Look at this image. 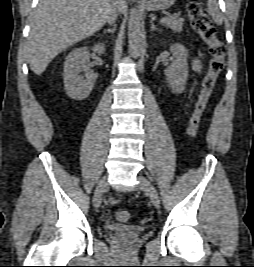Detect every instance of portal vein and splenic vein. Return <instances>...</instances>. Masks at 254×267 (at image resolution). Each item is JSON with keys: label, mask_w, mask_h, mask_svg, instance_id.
I'll list each match as a JSON object with an SVG mask.
<instances>
[{"label": "portal vein and splenic vein", "mask_w": 254, "mask_h": 267, "mask_svg": "<svg viewBox=\"0 0 254 267\" xmlns=\"http://www.w3.org/2000/svg\"><path fill=\"white\" fill-rule=\"evenodd\" d=\"M171 17H172L171 15L164 16V17H162L160 19V22L161 23H164V22L168 21L169 19H171Z\"/></svg>", "instance_id": "obj_1"}]
</instances>
